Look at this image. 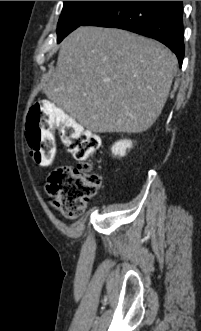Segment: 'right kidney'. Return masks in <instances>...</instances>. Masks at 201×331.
Returning <instances> with one entry per match:
<instances>
[{
	"instance_id": "obj_1",
	"label": "right kidney",
	"mask_w": 201,
	"mask_h": 331,
	"mask_svg": "<svg viewBox=\"0 0 201 331\" xmlns=\"http://www.w3.org/2000/svg\"><path fill=\"white\" fill-rule=\"evenodd\" d=\"M130 148H132L131 140L123 139L115 142L111 147V151L114 156L123 157L126 155V150Z\"/></svg>"
}]
</instances>
